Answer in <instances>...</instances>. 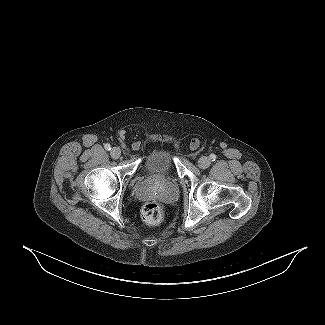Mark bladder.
<instances>
[{
  "label": "bladder",
  "instance_id": "31cf9c89",
  "mask_svg": "<svg viewBox=\"0 0 325 325\" xmlns=\"http://www.w3.org/2000/svg\"><path fill=\"white\" fill-rule=\"evenodd\" d=\"M174 165V155L171 148H158L151 151L144 160V170L148 173H161Z\"/></svg>",
  "mask_w": 325,
  "mask_h": 325
}]
</instances>
